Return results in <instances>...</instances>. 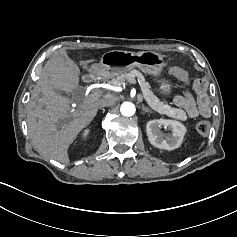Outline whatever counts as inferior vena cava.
<instances>
[{
    "instance_id": "1",
    "label": "inferior vena cava",
    "mask_w": 237,
    "mask_h": 237,
    "mask_svg": "<svg viewBox=\"0 0 237 237\" xmlns=\"http://www.w3.org/2000/svg\"><path fill=\"white\" fill-rule=\"evenodd\" d=\"M116 103V98L112 96H107L101 99L100 106L101 107H106V106H111Z\"/></svg>"
}]
</instances>
